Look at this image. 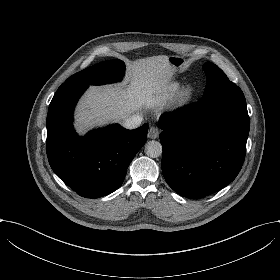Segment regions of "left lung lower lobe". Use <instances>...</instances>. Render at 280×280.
Masks as SVG:
<instances>
[{"mask_svg":"<svg viewBox=\"0 0 280 280\" xmlns=\"http://www.w3.org/2000/svg\"><path fill=\"white\" fill-rule=\"evenodd\" d=\"M159 124L163 176L178 194L202 198L238 175L250 126L238 86L164 114Z\"/></svg>","mask_w":280,"mask_h":280,"instance_id":"0a47b994","label":"left lung lower lobe"}]
</instances>
